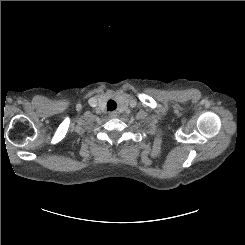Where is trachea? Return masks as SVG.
<instances>
[{"label":"trachea","instance_id":"1","mask_svg":"<svg viewBox=\"0 0 245 245\" xmlns=\"http://www.w3.org/2000/svg\"><path fill=\"white\" fill-rule=\"evenodd\" d=\"M116 107H117V104H116V102H115L114 100H109V101L107 102V109H108L109 111L115 110Z\"/></svg>","mask_w":245,"mask_h":245}]
</instances>
